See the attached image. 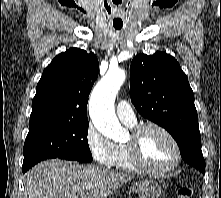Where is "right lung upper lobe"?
Masks as SVG:
<instances>
[{
    "instance_id": "1",
    "label": "right lung upper lobe",
    "mask_w": 221,
    "mask_h": 198,
    "mask_svg": "<svg viewBox=\"0 0 221 198\" xmlns=\"http://www.w3.org/2000/svg\"><path fill=\"white\" fill-rule=\"evenodd\" d=\"M94 53L71 48L45 68L32 102L30 123L40 120L86 121L88 96L97 79Z\"/></svg>"
}]
</instances>
